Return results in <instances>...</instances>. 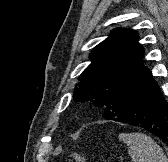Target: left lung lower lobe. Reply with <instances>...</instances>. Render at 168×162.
Returning a JSON list of instances; mask_svg holds the SVG:
<instances>
[{
	"instance_id": "1",
	"label": "left lung lower lobe",
	"mask_w": 168,
	"mask_h": 162,
	"mask_svg": "<svg viewBox=\"0 0 168 162\" xmlns=\"http://www.w3.org/2000/svg\"><path fill=\"white\" fill-rule=\"evenodd\" d=\"M103 118L141 127L168 144V104L144 65L109 96Z\"/></svg>"
}]
</instances>
